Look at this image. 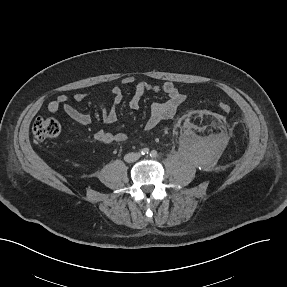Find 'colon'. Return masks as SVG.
I'll use <instances>...</instances> for the list:
<instances>
[{
    "label": "colon",
    "instance_id": "obj_1",
    "mask_svg": "<svg viewBox=\"0 0 287 287\" xmlns=\"http://www.w3.org/2000/svg\"><path fill=\"white\" fill-rule=\"evenodd\" d=\"M219 109L224 113H229L232 107L227 102H221ZM61 132L60 123L51 117L37 118L32 125V135L37 143L56 138Z\"/></svg>",
    "mask_w": 287,
    "mask_h": 287
}]
</instances>
